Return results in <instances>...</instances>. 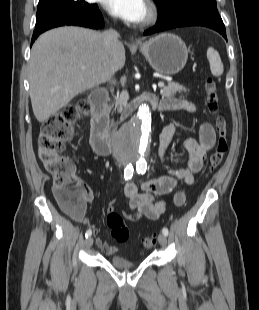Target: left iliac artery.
I'll list each match as a JSON object with an SVG mask.
<instances>
[{"mask_svg": "<svg viewBox=\"0 0 259 310\" xmlns=\"http://www.w3.org/2000/svg\"><path fill=\"white\" fill-rule=\"evenodd\" d=\"M136 170H137V172L140 174H144L145 172H146V170H147V163H146V161L144 160H140V161H138L137 163H136ZM162 233L165 235V236H167L168 235V229L166 228V227H164L163 229H162Z\"/></svg>", "mask_w": 259, "mask_h": 310, "instance_id": "1", "label": "left iliac artery"}]
</instances>
